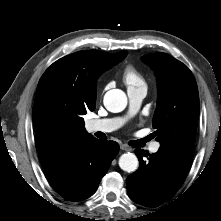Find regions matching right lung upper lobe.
<instances>
[{
  "instance_id": "obj_1",
  "label": "right lung upper lobe",
  "mask_w": 221,
  "mask_h": 221,
  "mask_svg": "<svg viewBox=\"0 0 221 221\" xmlns=\"http://www.w3.org/2000/svg\"><path fill=\"white\" fill-rule=\"evenodd\" d=\"M126 55L127 51L114 54L98 50L79 51L59 59L46 70V74L54 72L60 79L59 91L66 112L51 115L40 111L37 103L42 87L38 84L32 117L39 154L92 136L85 130L82 115L95 109L97 78Z\"/></svg>"
}]
</instances>
